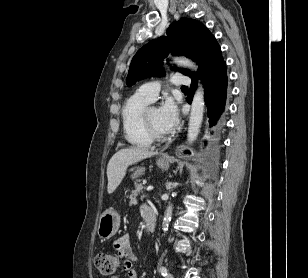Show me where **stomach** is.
Masks as SVG:
<instances>
[{"instance_id": "1", "label": "stomach", "mask_w": 308, "mask_h": 278, "mask_svg": "<svg viewBox=\"0 0 308 278\" xmlns=\"http://www.w3.org/2000/svg\"><path fill=\"white\" fill-rule=\"evenodd\" d=\"M156 163L158 167L162 169H167L170 165V162L164 159H158ZM131 171H133L132 178L134 179L142 175L145 172V168L137 167L131 169ZM119 226H120L119 214L112 209L106 210L100 216L97 234L103 240L109 239L116 234V232L119 229Z\"/></svg>"}]
</instances>
